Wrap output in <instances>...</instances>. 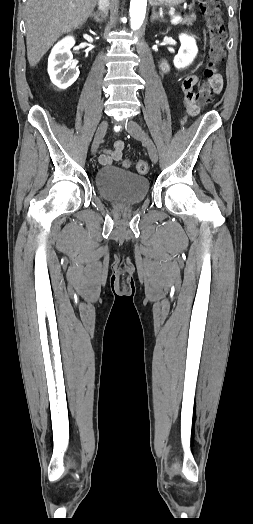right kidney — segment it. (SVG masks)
<instances>
[{
  "mask_svg": "<svg viewBox=\"0 0 253 524\" xmlns=\"http://www.w3.org/2000/svg\"><path fill=\"white\" fill-rule=\"evenodd\" d=\"M74 44L72 36L65 37L53 47L48 59L50 79L60 89L71 86L79 76V69L72 63L73 55L70 51Z\"/></svg>",
  "mask_w": 253,
  "mask_h": 524,
  "instance_id": "right-kidney-1",
  "label": "right kidney"
}]
</instances>
